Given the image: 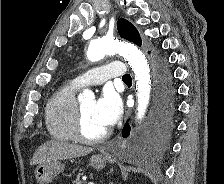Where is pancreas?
I'll use <instances>...</instances> for the list:
<instances>
[{"label":"pancreas","mask_w":224,"mask_h":184,"mask_svg":"<svg viewBox=\"0 0 224 184\" xmlns=\"http://www.w3.org/2000/svg\"><path fill=\"white\" fill-rule=\"evenodd\" d=\"M75 184H83V181L80 179V175L77 176L76 180L74 181Z\"/></svg>","instance_id":"obj_1"}]
</instances>
